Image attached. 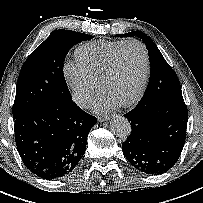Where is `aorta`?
<instances>
[{
    "instance_id": "aorta-1",
    "label": "aorta",
    "mask_w": 203,
    "mask_h": 203,
    "mask_svg": "<svg viewBox=\"0 0 203 203\" xmlns=\"http://www.w3.org/2000/svg\"><path fill=\"white\" fill-rule=\"evenodd\" d=\"M110 129L119 138H127L131 133V125L127 118L116 116L111 120Z\"/></svg>"
}]
</instances>
